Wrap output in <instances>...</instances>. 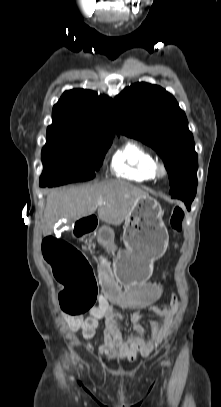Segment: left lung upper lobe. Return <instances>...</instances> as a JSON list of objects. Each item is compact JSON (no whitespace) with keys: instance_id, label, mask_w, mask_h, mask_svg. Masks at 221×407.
Returning <instances> with one entry per match:
<instances>
[{"instance_id":"5c2ea615","label":"left lung upper lobe","mask_w":221,"mask_h":407,"mask_svg":"<svg viewBox=\"0 0 221 407\" xmlns=\"http://www.w3.org/2000/svg\"><path fill=\"white\" fill-rule=\"evenodd\" d=\"M116 131L151 146L164 161L170 193L197 186L198 156L188 121L175 98L148 83L126 87L114 99Z\"/></svg>"}]
</instances>
